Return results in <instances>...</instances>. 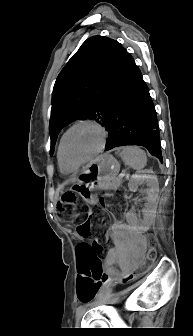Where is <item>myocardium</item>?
<instances>
[{
    "instance_id": "f54148a6",
    "label": "myocardium",
    "mask_w": 193,
    "mask_h": 336,
    "mask_svg": "<svg viewBox=\"0 0 193 336\" xmlns=\"http://www.w3.org/2000/svg\"><path fill=\"white\" fill-rule=\"evenodd\" d=\"M81 125H89V126H92V127L96 128L101 133L102 140H101V144H100L99 148L94 153H92L91 155H89L88 157H86L82 160L75 161V160L70 159L67 156L66 151H65V142H66V138H67L68 134L73 129H75L76 127L81 126ZM106 142H107V132H106L105 128L94 120L83 119V120H79V121H76L75 123H73L64 132V134L62 135L61 141H60V153H61V156H62L63 160L67 164H69L71 166H80L81 164H83L85 162H88L91 159H93L94 157L98 156L104 150V148L106 146Z\"/></svg>"
}]
</instances>
